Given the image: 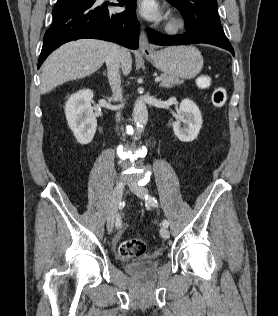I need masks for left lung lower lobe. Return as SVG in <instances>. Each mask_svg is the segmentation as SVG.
Here are the masks:
<instances>
[{
  "mask_svg": "<svg viewBox=\"0 0 278 316\" xmlns=\"http://www.w3.org/2000/svg\"><path fill=\"white\" fill-rule=\"evenodd\" d=\"M148 38L151 43L156 45H182V44H192V43H206L224 48L230 51L234 55V49L229 43V41L217 39L211 36L187 32L182 35L167 36L152 29L148 30Z\"/></svg>",
  "mask_w": 278,
  "mask_h": 316,
  "instance_id": "obj_1",
  "label": "left lung lower lobe"
}]
</instances>
